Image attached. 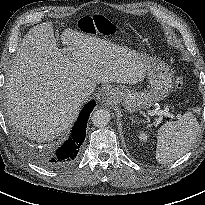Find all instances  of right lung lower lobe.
<instances>
[{
    "instance_id": "1",
    "label": "right lung lower lobe",
    "mask_w": 205,
    "mask_h": 205,
    "mask_svg": "<svg viewBox=\"0 0 205 205\" xmlns=\"http://www.w3.org/2000/svg\"><path fill=\"white\" fill-rule=\"evenodd\" d=\"M96 106L95 101L87 103L81 110L79 117L72 128V134L57 151L53 153L35 152L30 150L29 154L39 164L50 169H61L71 166L77 160L80 146L86 136L87 121Z\"/></svg>"
}]
</instances>
